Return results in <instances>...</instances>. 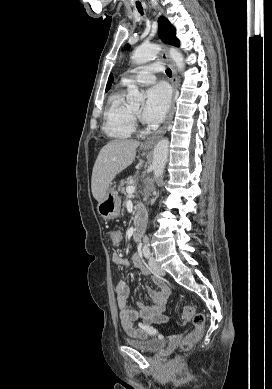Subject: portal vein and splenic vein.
<instances>
[{
	"mask_svg": "<svg viewBox=\"0 0 272 389\" xmlns=\"http://www.w3.org/2000/svg\"><path fill=\"white\" fill-rule=\"evenodd\" d=\"M135 190H136V187H135V186H128V187L126 188V192H127L128 194L134 193Z\"/></svg>",
	"mask_w": 272,
	"mask_h": 389,
	"instance_id": "obj_1",
	"label": "portal vein and splenic vein"
}]
</instances>
